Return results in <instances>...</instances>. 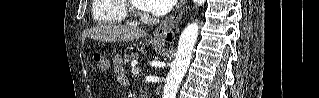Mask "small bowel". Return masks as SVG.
Returning a JSON list of instances; mask_svg holds the SVG:
<instances>
[{"label": "small bowel", "mask_w": 319, "mask_h": 98, "mask_svg": "<svg viewBox=\"0 0 319 98\" xmlns=\"http://www.w3.org/2000/svg\"><path fill=\"white\" fill-rule=\"evenodd\" d=\"M116 74H117L118 80H119L122 84H127V80H126V78H125L123 69L117 68V69H116Z\"/></svg>", "instance_id": "1"}]
</instances>
